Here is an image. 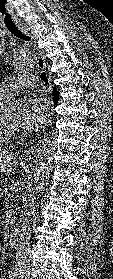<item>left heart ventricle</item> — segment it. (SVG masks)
Returning a JSON list of instances; mask_svg holds the SVG:
<instances>
[{"mask_svg": "<svg viewBox=\"0 0 113 279\" xmlns=\"http://www.w3.org/2000/svg\"><path fill=\"white\" fill-rule=\"evenodd\" d=\"M9 121L16 127L21 126L22 124V109L20 107L11 108L8 111Z\"/></svg>", "mask_w": 113, "mask_h": 279, "instance_id": "left-heart-ventricle-1", "label": "left heart ventricle"}]
</instances>
